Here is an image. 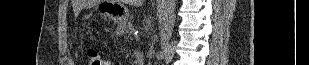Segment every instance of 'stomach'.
<instances>
[{
  "label": "stomach",
  "mask_w": 309,
  "mask_h": 65,
  "mask_svg": "<svg viewBox=\"0 0 309 65\" xmlns=\"http://www.w3.org/2000/svg\"><path fill=\"white\" fill-rule=\"evenodd\" d=\"M98 12L104 17L113 20L119 26L126 27L128 24L127 8L120 1H105L99 5Z\"/></svg>",
  "instance_id": "obj_1"
}]
</instances>
